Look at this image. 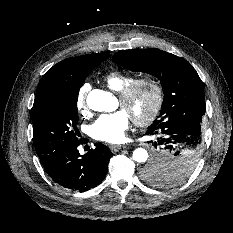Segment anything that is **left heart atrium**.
Returning <instances> with one entry per match:
<instances>
[{
  "label": "left heart atrium",
  "instance_id": "39dd6f15",
  "mask_svg": "<svg viewBox=\"0 0 233 233\" xmlns=\"http://www.w3.org/2000/svg\"><path fill=\"white\" fill-rule=\"evenodd\" d=\"M130 116L125 110L103 114L90 126V135L99 141L119 143L125 139Z\"/></svg>",
  "mask_w": 233,
  "mask_h": 233
}]
</instances>
